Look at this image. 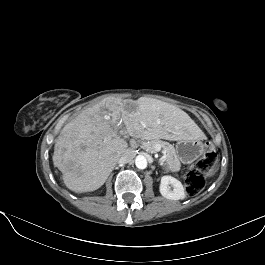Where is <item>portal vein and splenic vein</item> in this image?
<instances>
[{
  "label": "portal vein and splenic vein",
  "instance_id": "obj_1",
  "mask_svg": "<svg viewBox=\"0 0 265 265\" xmlns=\"http://www.w3.org/2000/svg\"><path fill=\"white\" fill-rule=\"evenodd\" d=\"M161 150V147H160V145H157L156 147H155V151H160ZM164 154H165V152H163Z\"/></svg>",
  "mask_w": 265,
  "mask_h": 265
}]
</instances>
